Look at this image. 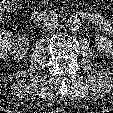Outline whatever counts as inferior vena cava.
I'll list each match as a JSON object with an SVG mask.
<instances>
[{
	"label": "inferior vena cava",
	"mask_w": 113,
	"mask_h": 113,
	"mask_svg": "<svg viewBox=\"0 0 113 113\" xmlns=\"http://www.w3.org/2000/svg\"><path fill=\"white\" fill-rule=\"evenodd\" d=\"M59 27V22L55 19L47 20L43 23V29L45 31H51Z\"/></svg>",
	"instance_id": "602c4592"
}]
</instances>
